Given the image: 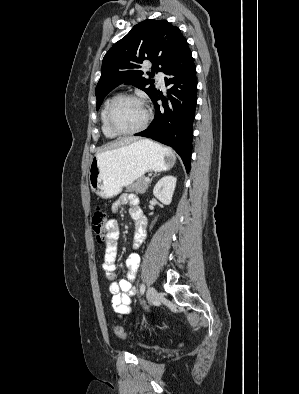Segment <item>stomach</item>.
I'll use <instances>...</instances> for the list:
<instances>
[{
	"label": "stomach",
	"instance_id": "0dacf381",
	"mask_svg": "<svg viewBox=\"0 0 299 394\" xmlns=\"http://www.w3.org/2000/svg\"><path fill=\"white\" fill-rule=\"evenodd\" d=\"M176 157L170 149L150 140L102 151L91 160L88 179L92 192L101 198H111L149 171H166Z\"/></svg>",
	"mask_w": 299,
	"mask_h": 394
}]
</instances>
